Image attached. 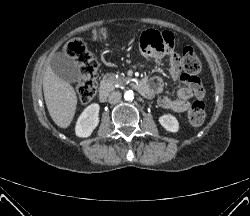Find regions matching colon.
<instances>
[{
  "label": "colon",
  "mask_w": 250,
  "mask_h": 216,
  "mask_svg": "<svg viewBox=\"0 0 250 216\" xmlns=\"http://www.w3.org/2000/svg\"><path fill=\"white\" fill-rule=\"evenodd\" d=\"M108 37L107 31L96 30L93 38L96 41H104ZM66 53L79 66L81 80L77 86V93L82 104H88L93 100L97 91L98 63L86 45L80 41L70 42L66 46ZM180 67L187 76L197 77L202 70L201 62L192 48H185L179 58ZM206 118L205 103L202 99H196L192 104L188 119L192 125H201Z\"/></svg>",
  "instance_id": "5ec220e1"
}]
</instances>
